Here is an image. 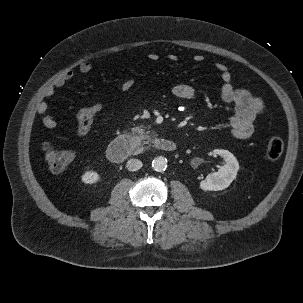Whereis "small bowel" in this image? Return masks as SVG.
<instances>
[{
    "label": "small bowel",
    "mask_w": 303,
    "mask_h": 303,
    "mask_svg": "<svg viewBox=\"0 0 303 303\" xmlns=\"http://www.w3.org/2000/svg\"><path fill=\"white\" fill-rule=\"evenodd\" d=\"M147 58L151 62L159 61L160 57L157 53H150ZM168 59L172 62L178 60L177 55L170 54ZM193 60L197 63L204 61V56L197 54L193 57ZM93 65L91 62H83L79 66V71L83 74L92 71ZM215 69L220 73L221 80L223 82L221 88V99L225 104L232 105L234 113L229 118L230 133L235 139H248L254 132L255 120L264 111L263 100L255 96L249 90L244 88L235 87L232 83V74L228 70L227 66L218 62L215 64ZM75 75L73 70H68L45 91V96L50 97L54 94L57 88L63 87L67 81L71 80ZM135 81L133 78L125 79L119 89L122 92H128L134 87ZM174 96L184 100L193 99L196 95L194 87L186 83H180L172 88ZM36 112L40 115L42 123L47 128L56 127V121L48 114V105L46 102H40L36 107Z\"/></svg>",
    "instance_id": "small-bowel-1"
}]
</instances>
